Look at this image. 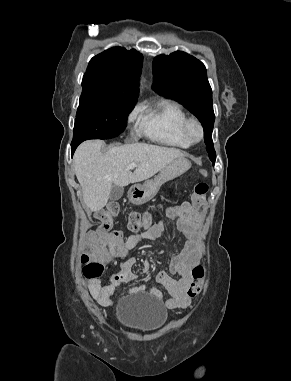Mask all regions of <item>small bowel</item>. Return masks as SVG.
Here are the masks:
<instances>
[{"mask_svg": "<svg viewBox=\"0 0 291 381\" xmlns=\"http://www.w3.org/2000/svg\"><path fill=\"white\" fill-rule=\"evenodd\" d=\"M164 213L168 220L177 222L178 229L185 235V242L181 246L180 253L172 258L169 266L170 273L178 275L179 279L176 280L166 271H161L156 275V282L163 286L170 295V298L165 301L166 306L169 309H180L187 307L191 303L187 290L193 280L192 270L199 264L201 259L195 225L200 212L198 208L184 202L180 205L166 207ZM165 230L166 221L160 220L146 232L140 235H131L127 238L123 237L120 230L106 234L94 230L86 234V249L94 248L101 241L104 246H109V257L125 258L121 269L110 276L107 285H103L99 277L88 279L89 291L100 305L109 306L112 304V295L120 284L135 282L136 278L132 269L136 259L129 256L130 251L143 242L158 240ZM143 288V286H137L133 290L139 291ZM151 293L157 299L163 300V294L158 288L153 287Z\"/></svg>", "mask_w": 291, "mask_h": 381, "instance_id": "c3829d8e", "label": "small bowel"}]
</instances>
